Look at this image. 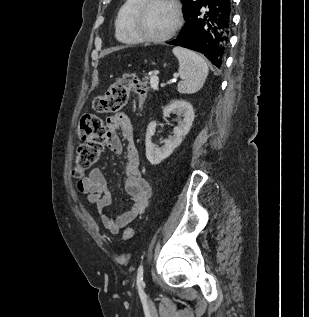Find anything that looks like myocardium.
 <instances>
[{
	"label": "myocardium",
	"mask_w": 309,
	"mask_h": 317,
	"mask_svg": "<svg viewBox=\"0 0 309 317\" xmlns=\"http://www.w3.org/2000/svg\"><path fill=\"white\" fill-rule=\"evenodd\" d=\"M155 3H166L170 5L175 13V23L171 30L166 34L158 37L144 34L140 28L139 23L146 12V10ZM183 24V13L181 6L177 0H142V2L133 11L130 19V27L133 34L140 42L145 43H162L171 39L181 28Z\"/></svg>",
	"instance_id": "myocardium-1"
}]
</instances>
